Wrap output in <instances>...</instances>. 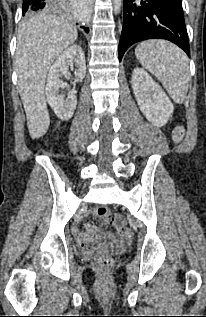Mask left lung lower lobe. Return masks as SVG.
Here are the masks:
<instances>
[{
	"label": "left lung lower lobe",
	"mask_w": 206,
	"mask_h": 317,
	"mask_svg": "<svg viewBox=\"0 0 206 317\" xmlns=\"http://www.w3.org/2000/svg\"><path fill=\"white\" fill-rule=\"evenodd\" d=\"M119 60L134 43L159 38L182 48L190 56L182 0H124Z\"/></svg>",
	"instance_id": "0a47b994"
}]
</instances>
